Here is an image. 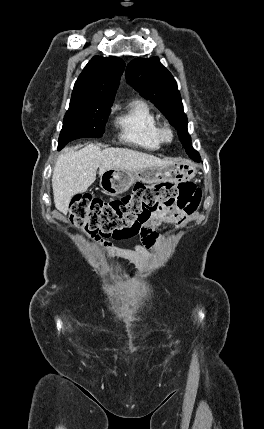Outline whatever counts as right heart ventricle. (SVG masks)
Instances as JSON below:
<instances>
[{"mask_svg":"<svg viewBox=\"0 0 264 429\" xmlns=\"http://www.w3.org/2000/svg\"><path fill=\"white\" fill-rule=\"evenodd\" d=\"M119 138L127 143L155 150L162 145L158 135L159 119L144 100L130 102L116 119Z\"/></svg>","mask_w":264,"mask_h":429,"instance_id":"1","label":"right heart ventricle"}]
</instances>
